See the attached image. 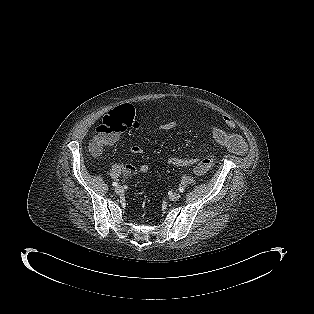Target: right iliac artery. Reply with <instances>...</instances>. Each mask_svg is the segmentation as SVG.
<instances>
[{
	"mask_svg": "<svg viewBox=\"0 0 314 314\" xmlns=\"http://www.w3.org/2000/svg\"><path fill=\"white\" fill-rule=\"evenodd\" d=\"M112 185H113V186H117L118 183H117V182H113Z\"/></svg>",
	"mask_w": 314,
	"mask_h": 314,
	"instance_id": "82829eb1",
	"label": "right iliac artery"
}]
</instances>
